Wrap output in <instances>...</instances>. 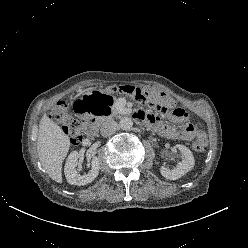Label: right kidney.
<instances>
[{"label": "right kidney", "instance_id": "ca27d5eb", "mask_svg": "<svg viewBox=\"0 0 248 248\" xmlns=\"http://www.w3.org/2000/svg\"><path fill=\"white\" fill-rule=\"evenodd\" d=\"M78 159L79 154L77 151H73L70 153L64 168L65 177L68 183L71 185H86L92 182L98 176L100 169L99 160L97 157H93L90 162L91 170L85 175H80L79 172L76 170Z\"/></svg>", "mask_w": 248, "mask_h": 248}]
</instances>
